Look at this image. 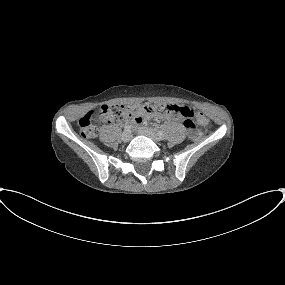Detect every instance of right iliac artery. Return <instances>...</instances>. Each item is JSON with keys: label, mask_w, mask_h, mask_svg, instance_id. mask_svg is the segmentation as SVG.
I'll return each instance as SVG.
<instances>
[{"label": "right iliac artery", "mask_w": 285, "mask_h": 285, "mask_svg": "<svg viewBox=\"0 0 285 285\" xmlns=\"http://www.w3.org/2000/svg\"><path fill=\"white\" fill-rule=\"evenodd\" d=\"M130 130H131V125H129V124L125 125L124 131H125V132H128V131H130Z\"/></svg>", "instance_id": "obj_1"}]
</instances>
